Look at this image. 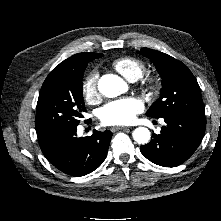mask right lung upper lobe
<instances>
[{"mask_svg": "<svg viewBox=\"0 0 221 221\" xmlns=\"http://www.w3.org/2000/svg\"><path fill=\"white\" fill-rule=\"evenodd\" d=\"M101 54L98 53H79L75 54L68 59L61 62L56 68H68L76 70L83 66H87V64L96 58H100Z\"/></svg>", "mask_w": 221, "mask_h": 221, "instance_id": "obj_1", "label": "right lung upper lobe"}]
</instances>
